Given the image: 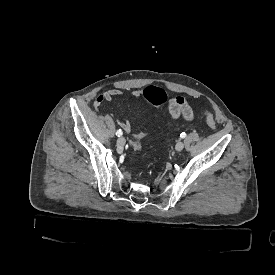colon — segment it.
<instances>
[{"label": "colon", "instance_id": "colon-1", "mask_svg": "<svg viewBox=\"0 0 275 275\" xmlns=\"http://www.w3.org/2000/svg\"><path fill=\"white\" fill-rule=\"evenodd\" d=\"M142 95L144 97H146V99L156 105L161 104L163 101L166 100L167 95L165 92L160 91L158 88H156L155 86L149 85L143 92ZM204 120L207 124V126L212 129L215 130L216 129V119L215 117L208 111L204 112ZM132 150L134 152H138L140 150V143L133 141L132 144Z\"/></svg>", "mask_w": 275, "mask_h": 275}]
</instances>
